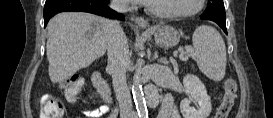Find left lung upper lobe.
Returning a JSON list of instances; mask_svg holds the SVG:
<instances>
[{
  "mask_svg": "<svg viewBox=\"0 0 273 118\" xmlns=\"http://www.w3.org/2000/svg\"><path fill=\"white\" fill-rule=\"evenodd\" d=\"M200 17L225 22L226 15L223 0H208L207 8Z\"/></svg>",
  "mask_w": 273,
  "mask_h": 118,
  "instance_id": "5c2ea615",
  "label": "left lung upper lobe"
}]
</instances>
